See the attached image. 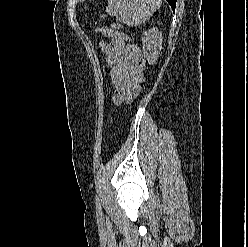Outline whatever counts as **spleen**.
Masks as SVG:
<instances>
[{
	"instance_id": "3e777b00",
	"label": "spleen",
	"mask_w": 248,
	"mask_h": 247,
	"mask_svg": "<svg viewBox=\"0 0 248 247\" xmlns=\"http://www.w3.org/2000/svg\"><path fill=\"white\" fill-rule=\"evenodd\" d=\"M162 0H108L106 12L119 16L129 26H138L147 21L160 7Z\"/></svg>"
}]
</instances>
